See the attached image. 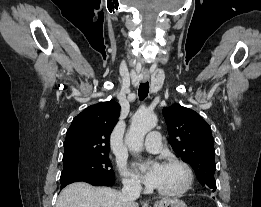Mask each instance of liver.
<instances>
[{"instance_id":"6515ba94","label":"liver","mask_w":261,"mask_h":207,"mask_svg":"<svg viewBox=\"0 0 261 207\" xmlns=\"http://www.w3.org/2000/svg\"><path fill=\"white\" fill-rule=\"evenodd\" d=\"M55 207H139L137 203H124L120 192L109 187H93L85 182L66 186L58 196Z\"/></svg>"}]
</instances>
